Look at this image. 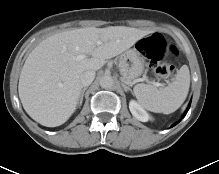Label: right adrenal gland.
<instances>
[{"mask_svg": "<svg viewBox=\"0 0 219 174\" xmlns=\"http://www.w3.org/2000/svg\"><path fill=\"white\" fill-rule=\"evenodd\" d=\"M88 86L84 87L81 91V94H80V105L82 104V101H83V96H84V92L87 90Z\"/></svg>", "mask_w": 219, "mask_h": 174, "instance_id": "right-adrenal-gland-1", "label": "right adrenal gland"}]
</instances>
